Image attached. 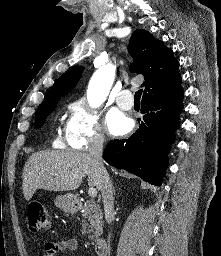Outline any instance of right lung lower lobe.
Masks as SVG:
<instances>
[{
	"label": "right lung lower lobe",
	"instance_id": "obj_1",
	"mask_svg": "<svg viewBox=\"0 0 221 256\" xmlns=\"http://www.w3.org/2000/svg\"><path fill=\"white\" fill-rule=\"evenodd\" d=\"M183 91L146 96L141 101L139 129L128 139L111 140L103 157L110 165L127 170L153 185H161L174 143V129L183 109Z\"/></svg>",
	"mask_w": 221,
	"mask_h": 256
}]
</instances>
